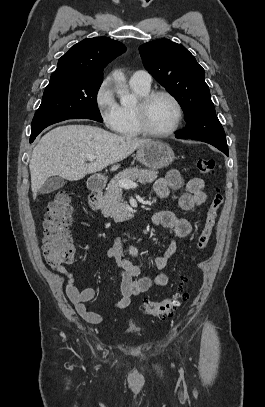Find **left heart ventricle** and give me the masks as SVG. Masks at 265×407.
<instances>
[{"mask_svg": "<svg viewBox=\"0 0 265 407\" xmlns=\"http://www.w3.org/2000/svg\"><path fill=\"white\" fill-rule=\"evenodd\" d=\"M176 116L177 111L173 102L165 96H159L148 108L147 123L151 130L164 132L172 127Z\"/></svg>", "mask_w": 265, "mask_h": 407, "instance_id": "left-heart-ventricle-1", "label": "left heart ventricle"}]
</instances>
